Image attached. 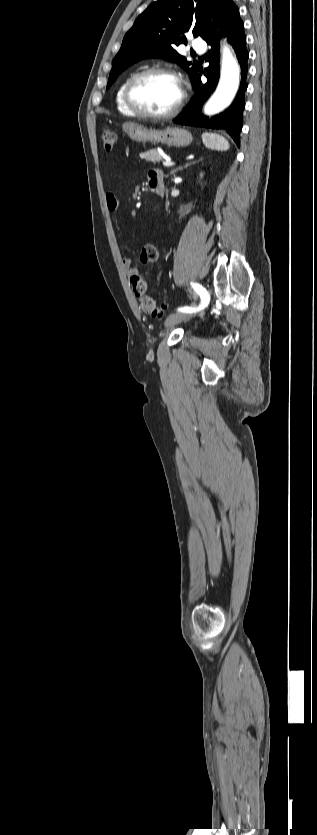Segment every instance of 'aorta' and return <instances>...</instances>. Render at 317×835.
<instances>
[{
    "mask_svg": "<svg viewBox=\"0 0 317 835\" xmlns=\"http://www.w3.org/2000/svg\"><path fill=\"white\" fill-rule=\"evenodd\" d=\"M240 67L228 45L222 48V65L218 86L205 104L204 113L215 115L225 110L235 98L239 88Z\"/></svg>",
    "mask_w": 317,
    "mask_h": 835,
    "instance_id": "762f6f07",
    "label": "aorta"
}]
</instances>
